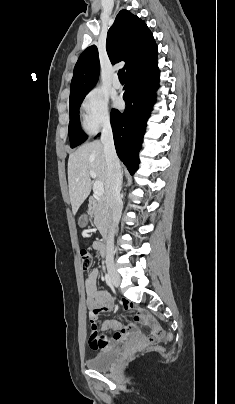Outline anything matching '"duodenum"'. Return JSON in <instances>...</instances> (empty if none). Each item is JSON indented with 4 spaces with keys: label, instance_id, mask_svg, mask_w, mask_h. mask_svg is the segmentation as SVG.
Wrapping results in <instances>:
<instances>
[{
    "label": "duodenum",
    "instance_id": "duodenum-1",
    "mask_svg": "<svg viewBox=\"0 0 235 404\" xmlns=\"http://www.w3.org/2000/svg\"><path fill=\"white\" fill-rule=\"evenodd\" d=\"M96 205H97V199L90 198L89 204H88V210L91 215L94 213ZM107 241H108V239H107V237H105L103 240V252L106 250Z\"/></svg>",
    "mask_w": 235,
    "mask_h": 404
}]
</instances>
